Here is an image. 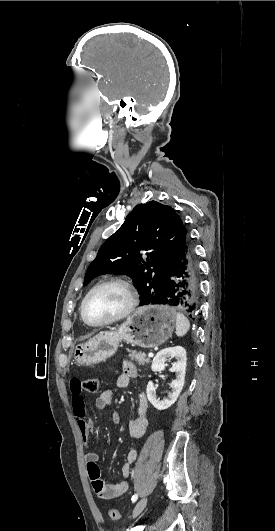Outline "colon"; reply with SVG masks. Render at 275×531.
Wrapping results in <instances>:
<instances>
[{
    "instance_id": "colon-1",
    "label": "colon",
    "mask_w": 275,
    "mask_h": 531,
    "mask_svg": "<svg viewBox=\"0 0 275 531\" xmlns=\"http://www.w3.org/2000/svg\"><path fill=\"white\" fill-rule=\"evenodd\" d=\"M82 390H83V392H88V393L98 392V390H99L98 379L96 377L85 378V381H83V383H82ZM119 515L120 514H119L118 511L111 510L110 511L111 521L113 523H116L118 521Z\"/></svg>"
}]
</instances>
